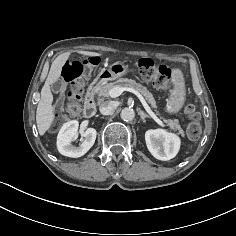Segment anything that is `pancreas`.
<instances>
[{
  "instance_id": "cf45deb5",
  "label": "pancreas",
  "mask_w": 236,
  "mask_h": 236,
  "mask_svg": "<svg viewBox=\"0 0 236 236\" xmlns=\"http://www.w3.org/2000/svg\"><path fill=\"white\" fill-rule=\"evenodd\" d=\"M114 87H124V88H133L140 92L152 105V107H156V103L154 100L153 95L144 87L143 85L136 83L132 79L127 78H121L118 79L115 82H110L102 86L97 87V93L99 96H109L108 91ZM168 125L170 126V129L177 132L178 135H181L182 137L185 136L183 129L181 128L178 120H170L167 121Z\"/></svg>"
}]
</instances>
